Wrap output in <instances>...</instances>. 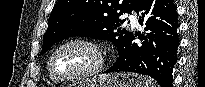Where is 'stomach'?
<instances>
[{
  "label": "stomach",
  "instance_id": "stomach-1",
  "mask_svg": "<svg viewBox=\"0 0 205 87\" xmlns=\"http://www.w3.org/2000/svg\"><path fill=\"white\" fill-rule=\"evenodd\" d=\"M150 85L144 77L138 74L112 73L83 81L74 87H150Z\"/></svg>",
  "mask_w": 205,
  "mask_h": 87
}]
</instances>
